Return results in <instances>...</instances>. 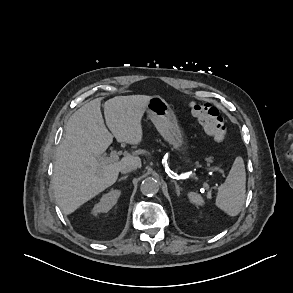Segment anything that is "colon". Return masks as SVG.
I'll return each mask as SVG.
<instances>
[{"mask_svg":"<svg viewBox=\"0 0 293 293\" xmlns=\"http://www.w3.org/2000/svg\"><path fill=\"white\" fill-rule=\"evenodd\" d=\"M189 108L205 134L217 142H222L226 139V126L217 108L210 103L199 102H191Z\"/></svg>","mask_w":293,"mask_h":293,"instance_id":"obj_1","label":"colon"}]
</instances>
